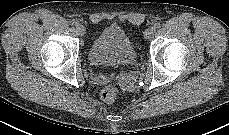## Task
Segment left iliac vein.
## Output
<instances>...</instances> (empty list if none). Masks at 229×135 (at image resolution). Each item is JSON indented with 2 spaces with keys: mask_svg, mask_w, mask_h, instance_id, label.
<instances>
[{
  "mask_svg": "<svg viewBox=\"0 0 229 135\" xmlns=\"http://www.w3.org/2000/svg\"><path fill=\"white\" fill-rule=\"evenodd\" d=\"M154 34H155V28L154 27H149L144 32V38L147 39V40H150V39L153 38Z\"/></svg>",
  "mask_w": 229,
  "mask_h": 135,
  "instance_id": "1",
  "label": "left iliac vein"
}]
</instances>
